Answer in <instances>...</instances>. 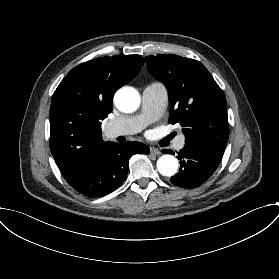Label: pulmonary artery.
<instances>
[{"instance_id":"pulmonary-artery-1","label":"pulmonary artery","mask_w":279,"mask_h":279,"mask_svg":"<svg viewBox=\"0 0 279 279\" xmlns=\"http://www.w3.org/2000/svg\"><path fill=\"white\" fill-rule=\"evenodd\" d=\"M168 90L160 81L147 85L142 93V111L138 115H119L114 118L112 126L106 131L107 136H135L148 124L159 119L168 103ZM185 136L180 135L176 146L181 149Z\"/></svg>"}]
</instances>
